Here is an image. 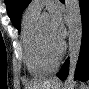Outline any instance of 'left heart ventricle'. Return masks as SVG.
<instances>
[{
	"instance_id": "left-heart-ventricle-1",
	"label": "left heart ventricle",
	"mask_w": 89,
	"mask_h": 89,
	"mask_svg": "<svg viewBox=\"0 0 89 89\" xmlns=\"http://www.w3.org/2000/svg\"><path fill=\"white\" fill-rule=\"evenodd\" d=\"M40 27H41L43 39H44L48 49L52 53H56L57 50L59 49L61 43H59L53 39V37L51 35L50 22L49 21L43 22L40 24Z\"/></svg>"
}]
</instances>
